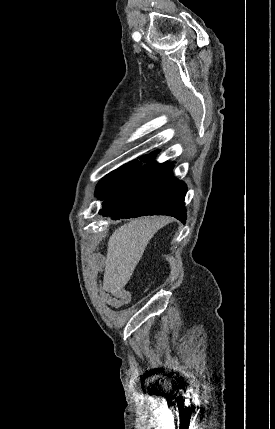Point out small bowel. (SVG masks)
I'll use <instances>...</instances> for the list:
<instances>
[{
    "label": "small bowel",
    "mask_w": 275,
    "mask_h": 429,
    "mask_svg": "<svg viewBox=\"0 0 275 429\" xmlns=\"http://www.w3.org/2000/svg\"><path fill=\"white\" fill-rule=\"evenodd\" d=\"M109 292L110 295L105 298V301L111 307L117 308L123 306L131 300L130 292L123 288H114Z\"/></svg>",
    "instance_id": "small-bowel-1"
}]
</instances>
